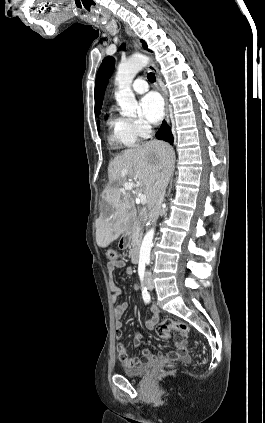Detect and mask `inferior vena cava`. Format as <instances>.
<instances>
[{
  "instance_id": "obj_1",
  "label": "inferior vena cava",
  "mask_w": 265,
  "mask_h": 423,
  "mask_svg": "<svg viewBox=\"0 0 265 423\" xmlns=\"http://www.w3.org/2000/svg\"><path fill=\"white\" fill-rule=\"evenodd\" d=\"M164 195H165V190H163L161 194L159 195L157 202L155 204L154 210L151 212L150 221L152 223L156 221V219L158 218V215L161 212V205L164 200ZM149 275H150V272H146L145 276L148 277Z\"/></svg>"
}]
</instances>
